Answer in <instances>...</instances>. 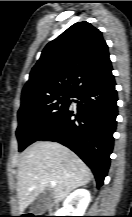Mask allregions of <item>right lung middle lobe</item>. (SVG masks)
<instances>
[{
    "label": "right lung middle lobe",
    "mask_w": 132,
    "mask_h": 217,
    "mask_svg": "<svg viewBox=\"0 0 132 217\" xmlns=\"http://www.w3.org/2000/svg\"><path fill=\"white\" fill-rule=\"evenodd\" d=\"M73 93L27 96L21 99L16 135L19 151L46 133L71 104Z\"/></svg>",
    "instance_id": "obj_1"
}]
</instances>
